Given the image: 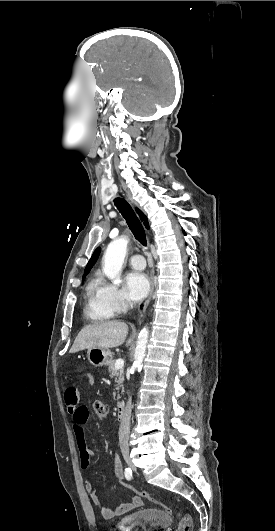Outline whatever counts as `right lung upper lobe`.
<instances>
[{
    "instance_id": "obj_1",
    "label": "right lung upper lobe",
    "mask_w": 275,
    "mask_h": 531,
    "mask_svg": "<svg viewBox=\"0 0 275 531\" xmlns=\"http://www.w3.org/2000/svg\"><path fill=\"white\" fill-rule=\"evenodd\" d=\"M140 219L142 221H144V225L146 226V228H149L148 226V222H147V218L146 216L142 213V211H140L139 209H136ZM100 253V248H97L95 250V252L93 253L92 257L90 258L85 270H84V274H87L89 272V270L92 268V266L94 265V263L96 262L97 258H98V255Z\"/></svg>"
}]
</instances>
